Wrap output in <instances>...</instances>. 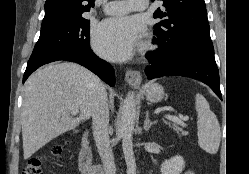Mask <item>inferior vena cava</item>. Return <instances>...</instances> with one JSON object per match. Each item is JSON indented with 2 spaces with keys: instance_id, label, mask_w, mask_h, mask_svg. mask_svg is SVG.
Segmentation results:
<instances>
[{
  "instance_id": "602c4592",
  "label": "inferior vena cava",
  "mask_w": 249,
  "mask_h": 174,
  "mask_svg": "<svg viewBox=\"0 0 249 174\" xmlns=\"http://www.w3.org/2000/svg\"><path fill=\"white\" fill-rule=\"evenodd\" d=\"M94 140L103 163L104 174H116L114 156L109 141V108L105 86L98 88L92 114Z\"/></svg>"
}]
</instances>
